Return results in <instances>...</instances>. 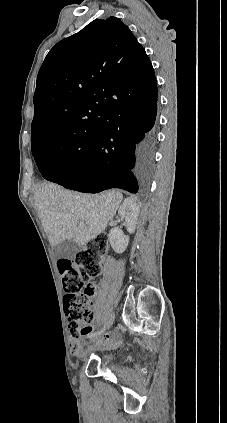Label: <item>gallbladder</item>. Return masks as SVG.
I'll return each mask as SVG.
<instances>
[{
  "label": "gallbladder",
  "instance_id": "obj_1",
  "mask_svg": "<svg viewBox=\"0 0 227 423\" xmlns=\"http://www.w3.org/2000/svg\"><path fill=\"white\" fill-rule=\"evenodd\" d=\"M79 249L80 245L75 243V241H72V239L62 241V243L53 247L55 259H62V257H65V259H73Z\"/></svg>",
  "mask_w": 227,
  "mask_h": 423
}]
</instances>
